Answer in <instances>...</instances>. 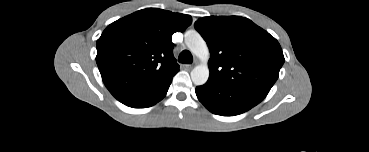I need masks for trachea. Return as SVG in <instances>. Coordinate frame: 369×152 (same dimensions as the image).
<instances>
[{"label": "trachea", "mask_w": 369, "mask_h": 152, "mask_svg": "<svg viewBox=\"0 0 369 152\" xmlns=\"http://www.w3.org/2000/svg\"><path fill=\"white\" fill-rule=\"evenodd\" d=\"M178 60L180 63L191 64L193 62V56L190 51L184 50L180 53Z\"/></svg>", "instance_id": "obj_1"}]
</instances>
